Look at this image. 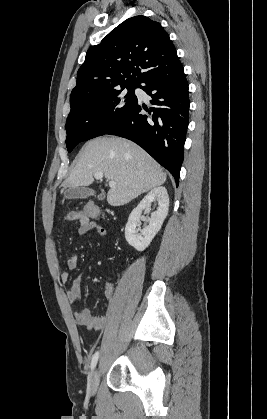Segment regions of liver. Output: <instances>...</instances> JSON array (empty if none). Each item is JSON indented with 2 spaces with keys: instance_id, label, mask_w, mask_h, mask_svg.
<instances>
[{
  "instance_id": "6515ba94",
  "label": "liver",
  "mask_w": 267,
  "mask_h": 419,
  "mask_svg": "<svg viewBox=\"0 0 267 419\" xmlns=\"http://www.w3.org/2000/svg\"><path fill=\"white\" fill-rule=\"evenodd\" d=\"M97 172L116 183L107 194L111 206L127 204L166 181L160 165L134 142L115 136L99 137L85 144L61 192L68 187L91 185Z\"/></svg>"
}]
</instances>
